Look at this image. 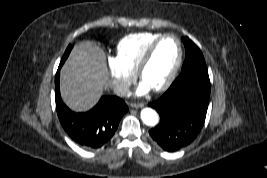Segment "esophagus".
Returning <instances> with one entry per match:
<instances>
[{
  "mask_svg": "<svg viewBox=\"0 0 267 178\" xmlns=\"http://www.w3.org/2000/svg\"><path fill=\"white\" fill-rule=\"evenodd\" d=\"M130 107L132 108H142L144 107L143 103H130Z\"/></svg>",
  "mask_w": 267,
  "mask_h": 178,
  "instance_id": "34e87169",
  "label": "esophagus"
}]
</instances>
